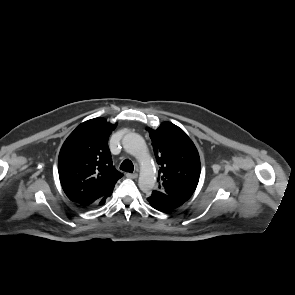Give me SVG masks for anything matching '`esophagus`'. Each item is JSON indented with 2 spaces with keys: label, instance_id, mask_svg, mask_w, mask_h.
<instances>
[{
  "label": "esophagus",
  "instance_id": "34e87169",
  "mask_svg": "<svg viewBox=\"0 0 295 295\" xmlns=\"http://www.w3.org/2000/svg\"><path fill=\"white\" fill-rule=\"evenodd\" d=\"M126 176L131 179H135L138 177L137 173H127Z\"/></svg>",
  "mask_w": 295,
  "mask_h": 295
}]
</instances>
